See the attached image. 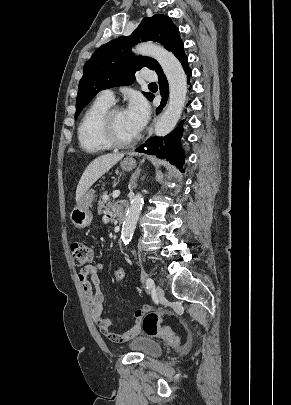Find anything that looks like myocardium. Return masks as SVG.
I'll return each mask as SVG.
<instances>
[{
  "mask_svg": "<svg viewBox=\"0 0 291 405\" xmlns=\"http://www.w3.org/2000/svg\"><path fill=\"white\" fill-rule=\"evenodd\" d=\"M121 111H124V108L121 106H113L109 108L102 117L100 131L103 139L109 146L114 148H129L138 142L140 135L137 134L134 138L127 141L121 140L116 136L113 119L114 116Z\"/></svg>",
  "mask_w": 291,
  "mask_h": 405,
  "instance_id": "myocardium-1",
  "label": "myocardium"
}]
</instances>
